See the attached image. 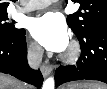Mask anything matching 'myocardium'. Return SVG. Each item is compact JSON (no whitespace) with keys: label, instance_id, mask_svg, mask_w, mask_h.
Instances as JSON below:
<instances>
[{"label":"myocardium","instance_id":"myocardium-1","mask_svg":"<svg viewBox=\"0 0 107 89\" xmlns=\"http://www.w3.org/2000/svg\"><path fill=\"white\" fill-rule=\"evenodd\" d=\"M81 53L80 45L77 41H72L65 51V53L61 56V60L65 63H74L78 60Z\"/></svg>","mask_w":107,"mask_h":89}]
</instances>
